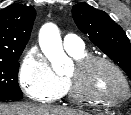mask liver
<instances>
[{
  "label": "liver",
  "instance_id": "6515ba94",
  "mask_svg": "<svg viewBox=\"0 0 131 115\" xmlns=\"http://www.w3.org/2000/svg\"><path fill=\"white\" fill-rule=\"evenodd\" d=\"M0 115H89L86 112L62 107L34 106L31 104L0 105Z\"/></svg>",
  "mask_w": 131,
  "mask_h": 115
}]
</instances>
